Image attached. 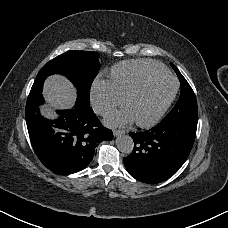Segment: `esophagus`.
I'll use <instances>...</instances> for the list:
<instances>
[{
    "label": "esophagus",
    "mask_w": 228,
    "mask_h": 228,
    "mask_svg": "<svg viewBox=\"0 0 228 228\" xmlns=\"http://www.w3.org/2000/svg\"><path fill=\"white\" fill-rule=\"evenodd\" d=\"M124 133H125L124 130H114L113 131L114 136H119V135L124 134Z\"/></svg>",
    "instance_id": "obj_1"
}]
</instances>
